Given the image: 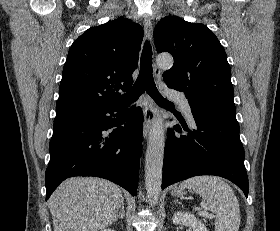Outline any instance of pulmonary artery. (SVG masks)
I'll use <instances>...</instances> for the list:
<instances>
[{
    "mask_svg": "<svg viewBox=\"0 0 280 231\" xmlns=\"http://www.w3.org/2000/svg\"><path fill=\"white\" fill-rule=\"evenodd\" d=\"M165 94L169 99L176 101L179 105H190L183 92H179L175 90H166ZM182 112L192 113L191 110H182ZM186 119L190 123L194 122V118H186Z\"/></svg>",
    "mask_w": 280,
    "mask_h": 231,
    "instance_id": "e3ab8cb5",
    "label": "pulmonary artery"
}]
</instances>
